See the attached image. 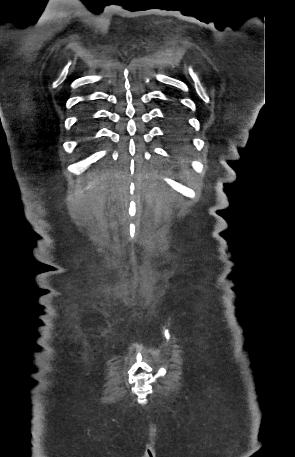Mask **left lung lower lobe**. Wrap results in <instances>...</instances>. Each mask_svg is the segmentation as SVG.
Segmentation results:
<instances>
[{
    "mask_svg": "<svg viewBox=\"0 0 295 457\" xmlns=\"http://www.w3.org/2000/svg\"><path fill=\"white\" fill-rule=\"evenodd\" d=\"M169 121H170V136L173 140L176 142H184V134H183V128H184V123L183 120L176 115L174 112L169 115Z\"/></svg>",
    "mask_w": 295,
    "mask_h": 457,
    "instance_id": "0a47b994",
    "label": "left lung lower lobe"
}]
</instances>
